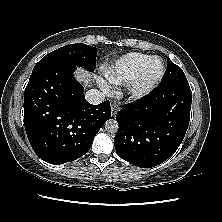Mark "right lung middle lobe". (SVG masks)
Masks as SVG:
<instances>
[{
	"instance_id": "obj_1",
	"label": "right lung middle lobe",
	"mask_w": 222,
	"mask_h": 222,
	"mask_svg": "<svg viewBox=\"0 0 222 222\" xmlns=\"http://www.w3.org/2000/svg\"><path fill=\"white\" fill-rule=\"evenodd\" d=\"M96 53L97 49L95 47L86 44L76 43L66 45L47 54L35 65L32 72L64 64H71L75 67H83L89 71H93L96 67Z\"/></svg>"
}]
</instances>
